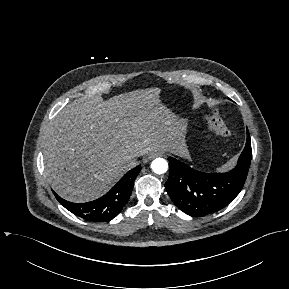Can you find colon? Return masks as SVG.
Wrapping results in <instances>:
<instances>
[{
  "instance_id": "colon-1",
  "label": "colon",
  "mask_w": 289,
  "mask_h": 289,
  "mask_svg": "<svg viewBox=\"0 0 289 289\" xmlns=\"http://www.w3.org/2000/svg\"><path fill=\"white\" fill-rule=\"evenodd\" d=\"M208 123L210 129L217 135L222 137H227L230 135V130L226 126L223 119L220 117V115L216 112L211 113L208 116Z\"/></svg>"
}]
</instances>
